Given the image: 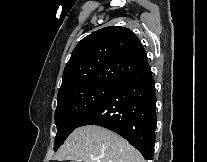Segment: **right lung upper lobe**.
Listing matches in <instances>:
<instances>
[{
  "mask_svg": "<svg viewBox=\"0 0 207 162\" xmlns=\"http://www.w3.org/2000/svg\"><path fill=\"white\" fill-rule=\"evenodd\" d=\"M147 65L146 52L130 29L118 26L99 29L74 48L58 96L89 85H116Z\"/></svg>",
  "mask_w": 207,
  "mask_h": 162,
  "instance_id": "obj_1",
  "label": "right lung upper lobe"
}]
</instances>
